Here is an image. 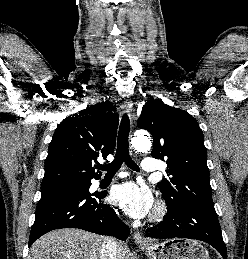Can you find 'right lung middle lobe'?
I'll return each instance as SVG.
<instances>
[{
    "instance_id": "dd1d6c3e",
    "label": "right lung middle lobe",
    "mask_w": 248,
    "mask_h": 259,
    "mask_svg": "<svg viewBox=\"0 0 248 259\" xmlns=\"http://www.w3.org/2000/svg\"><path fill=\"white\" fill-rule=\"evenodd\" d=\"M91 185V181H69V182H61V183H53L41 185V192L56 190V189H71V190H87L89 191V187Z\"/></svg>"
}]
</instances>
